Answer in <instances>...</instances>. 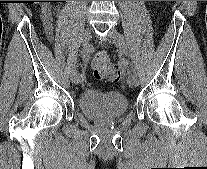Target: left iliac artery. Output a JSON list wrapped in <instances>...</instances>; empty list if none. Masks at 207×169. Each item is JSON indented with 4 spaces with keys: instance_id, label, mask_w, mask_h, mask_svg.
I'll use <instances>...</instances> for the list:
<instances>
[{
    "instance_id": "44dca946",
    "label": "left iliac artery",
    "mask_w": 207,
    "mask_h": 169,
    "mask_svg": "<svg viewBox=\"0 0 207 169\" xmlns=\"http://www.w3.org/2000/svg\"><path fill=\"white\" fill-rule=\"evenodd\" d=\"M119 72H124V74H132L133 76H137V73L134 69H131V65L124 57L119 59Z\"/></svg>"
}]
</instances>
